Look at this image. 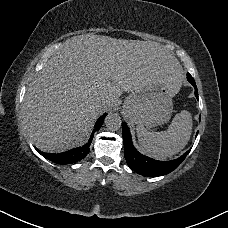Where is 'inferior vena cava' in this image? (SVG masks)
I'll return each mask as SVG.
<instances>
[{"label": "inferior vena cava", "mask_w": 228, "mask_h": 228, "mask_svg": "<svg viewBox=\"0 0 228 228\" xmlns=\"http://www.w3.org/2000/svg\"><path fill=\"white\" fill-rule=\"evenodd\" d=\"M96 106H97L98 108H101L102 102L98 101V102L96 103Z\"/></svg>", "instance_id": "1"}]
</instances>
